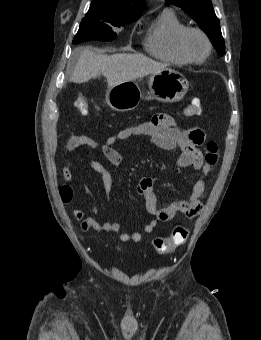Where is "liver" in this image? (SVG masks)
Masks as SVG:
<instances>
[{
    "instance_id": "1",
    "label": "liver",
    "mask_w": 261,
    "mask_h": 340,
    "mask_svg": "<svg viewBox=\"0 0 261 340\" xmlns=\"http://www.w3.org/2000/svg\"><path fill=\"white\" fill-rule=\"evenodd\" d=\"M167 65L154 61L142 54H97L90 47H84L78 57L71 80L85 83L101 74L107 79L108 87L133 81L166 69Z\"/></svg>"
}]
</instances>
